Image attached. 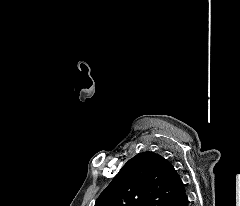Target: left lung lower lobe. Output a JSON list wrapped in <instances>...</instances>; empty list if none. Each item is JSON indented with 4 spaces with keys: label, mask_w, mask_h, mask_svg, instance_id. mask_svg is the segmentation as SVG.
<instances>
[{
    "label": "left lung lower lobe",
    "mask_w": 240,
    "mask_h": 206,
    "mask_svg": "<svg viewBox=\"0 0 240 206\" xmlns=\"http://www.w3.org/2000/svg\"><path fill=\"white\" fill-rule=\"evenodd\" d=\"M167 206H189L188 194L183 181Z\"/></svg>",
    "instance_id": "obj_1"
}]
</instances>
